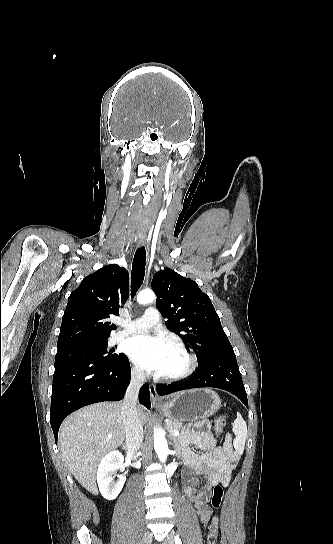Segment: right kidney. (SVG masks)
Wrapping results in <instances>:
<instances>
[{"label":"right kidney","instance_id":"right-kidney-1","mask_svg":"<svg viewBox=\"0 0 333 544\" xmlns=\"http://www.w3.org/2000/svg\"><path fill=\"white\" fill-rule=\"evenodd\" d=\"M117 470H124V457L119 451H112L102 458L97 471L100 493L107 500H114L126 481L125 475H118V480L113 481V474Z\"/></svg>","mask_w":333,"mask_h":544}]
</instances>
